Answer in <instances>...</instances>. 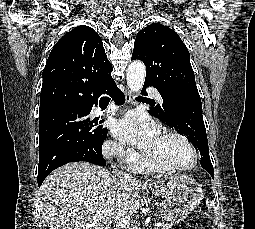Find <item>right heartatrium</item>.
Here are the masks:
<instances>
[{
	"instance_id": "1",
	"label": "right heart atrium",
	"mask_w": 255,
	"mask_h": 229,
	"mask_svg": "<svg viewBox=\"0 0 255 229\" xmlns=\"http://www.w3.org/2000/svg\"><path fill=\"white\" fill-rule=\"evenodd\" d=\"M103 153L108 158L118 159L124 163H131L138 159V154L134 150L111 140L104 143Z\"/></svg>"
}]
</instances>
